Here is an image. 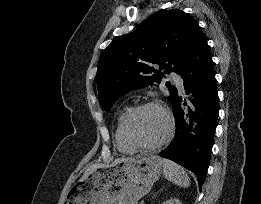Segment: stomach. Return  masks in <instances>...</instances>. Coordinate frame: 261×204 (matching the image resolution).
<instances>
[{
    "instance_id": "obj_1",
    "label": "stomach",
    "mask_w": 261,
    "mask_h": 204,
    "mask_svg": "<svg viewBox=\"0 0 261 204\" xmlns=\"http://www.w3.org/2000/svg\"><path fill=\"white\" fill-rule=\"evenodd\" d=\"M156 155L98 167L68 192L64 204H137L162 171Z\"/></svg>"
}]
</instances>
